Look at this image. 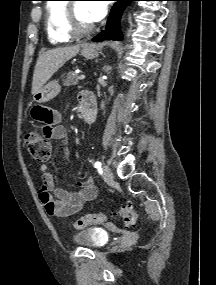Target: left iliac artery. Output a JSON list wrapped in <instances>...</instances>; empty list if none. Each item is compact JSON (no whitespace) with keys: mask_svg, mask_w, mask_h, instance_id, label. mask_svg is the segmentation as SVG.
I'll return each instance as SVG.
<instances>
[{"mask_svg":"<svg viewBox=\"0 0 216 285\" xmlns=\"http://www.w3.org/2000/svg\"><path fill=\"white\" fill-rule=\"evenodd\" d=\"M94 166H95V168H97L98 170H101L102 164H101V162L97 161V162H95Z\"/></svg>","mask_w":216,"mask_h":285,"instance_id":"obj_1","label":"left iliac artery"}]
</instances>
